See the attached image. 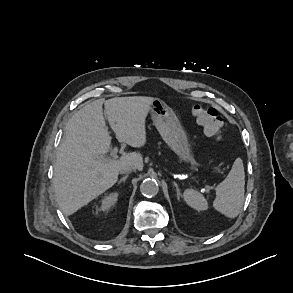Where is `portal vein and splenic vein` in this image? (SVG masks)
Segmentation results:
<instances>
[{
  "label": "portal vein and splenic vein",
  "mask_w": 293,
  "mask_h": 293,
  "mask_svg": "<svg viewBox=\"0 0 293 293\" xmlns=\"http://www.w3.org/2000/svg\"><path fill=\"white\" fill-rule=\"evenodd\" d=\"M117 152H118V148L117 147H114L111 152H110V157L113 158V159H116L117 158ZM108 158L104 157V156H100L99 157V160L100 161H107Z\"/></svg>",
  "instance_id": "obj_1"
}]
</instances>
